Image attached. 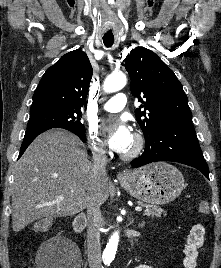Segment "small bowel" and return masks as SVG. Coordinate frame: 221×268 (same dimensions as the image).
<instances>
[{
	"label": "small bowel",
	"mask_w": 221,
	"mask_h": 268,
	"mask_svg": "<svg viewBox=\"0 0 221 268\" xmlns=\"http://www.w3.org/2000/svg\"><path fill=\"white\" fill-rule=\"evenodd\" d=\"M204 226L199 223L191 225L184 246V268H195L200 252L204 248ZM135 268H154L151 265H140Z\"/></svg>",
	"instance_id": "obj_1"
}]
</instances>
